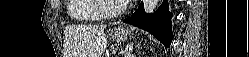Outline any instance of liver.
<instances>
[{
	"label": "liver",
	"mask_w": 249,
	"mask_h": 57,
	"mask_svg": "<svg viewBox=\"0 0 249 57\" xmlns=\"http://www.w3.org/2000/svg\"><path fill=\"white\" fill-rule=\"evenodd\" d=\"M106 25H74L65 29L73 57H101L107 47Z\"/></svg>",
	"instance_id": "obj_1"
}]
</instances>
